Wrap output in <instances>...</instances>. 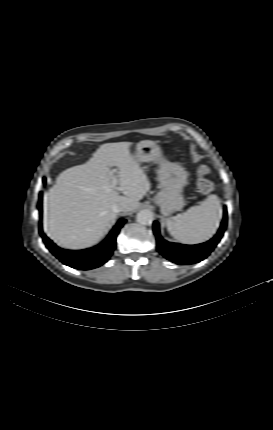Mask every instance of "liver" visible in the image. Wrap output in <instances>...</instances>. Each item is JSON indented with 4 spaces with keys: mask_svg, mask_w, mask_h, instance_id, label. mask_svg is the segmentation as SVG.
Wrapping results in <instances>:
<instances>
[{
    "mask_svg": "<svg viewBox=\"0 0 273 430\" xmlns=\"http://www.w3.org/2000/svg\"><path fill=\"white\" fill-rule=\"evenodd\" d=\"M131 142L106 143L82 165L63 171L44 199L43 227L49 238L68 249L95 244L114 221L112 206L123 203V212L135 210L150 190L147 175L130 153ZM111 167L117 168L116 191Z\"/></svg>",
    "mask_w": 273,
    "mask_h": 430,
    "instance_id": "liver-1",
    "label": "liver"
}]
</instances>
